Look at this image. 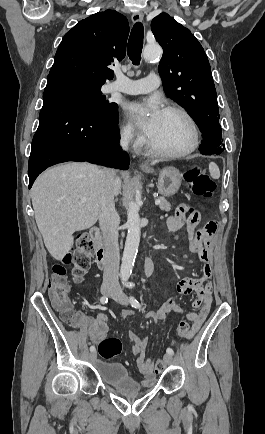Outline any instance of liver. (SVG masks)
Returning <instances> with one entry per match:
<instances>
[{"mask_svg":"<svg viewBox=\"0 0 265 434\" xmlns=\"http://www.w3.org/2000/svg\"><path fill=\"white\" fill-rule=\"evenodd\" d=\"M98 172V166L73 162L46 170L32 186L38 230L49 254L59 262L72 248L74 232L88 230L99 218L102 196L96 188ZM120 190L121 180L115 178L113 198ZM80 198L86 202L81 204Z\"/></svg>","mask_w":265,"mask_h":434,"instance_id":"obj_1","label":"liver"}]
</instances>
